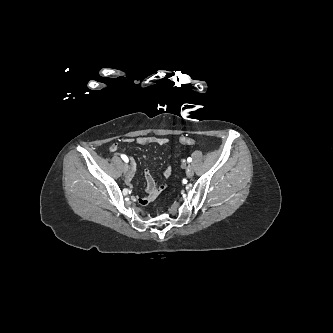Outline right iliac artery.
I'll list each match as a JSON object with an SVG mask.
<instances>
[{
    "instance_id": "right-iliac-artery-1",
    "label": "right iliac artery",
    "mask_w": 333,
    "mask_h": 333,
    "mask_svg": "<svg viewBox=\"0 0 333 333\" xmlns=\"http://www.w3.org/2000/svg\"><path fill=\"white\" fill-rule=\"evenodd\" d=\"M121 158L124 160V162L128 163L129 159L127 158L126 155H121Z\"/></svg>"
}]
</instances>
